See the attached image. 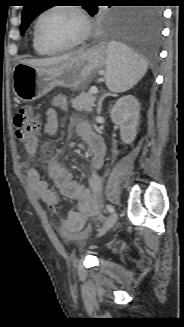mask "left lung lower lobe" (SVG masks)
I'll list each match as a JSON object with an SVG mask.
<instances>
[{
    "label": "left lung lower lobe",
    "mask_w": 184,
    "mask_h": 327,
    "mask_svg": "<svg viewBox=\"0 0 184 327\" xmlns=\"http://www.w3.org/2000/svg\"><path fill=\"white\" fill-rule=\"evenodd\" d=\"M162 12L156 7L135 11L131 20L117 31L119 44L150 56L157 54Z\"/></svg>",
    "instance_id": "obj_1"
}]
</instances>
